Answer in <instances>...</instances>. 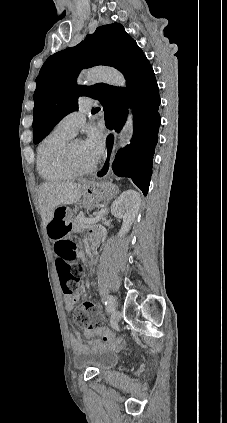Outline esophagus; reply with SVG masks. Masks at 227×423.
<instances>
[{"label":"esophagus","instance_id":"obj_1","mask_svg":"<svg viewBox=\"0 0 227 423\" xmlns=\"http://www.w3.org/2000/svg\"><path fill=\"white\" fill-rule=\"evenodd\" d=\"M115 142H116V138L112 133L106 135L105 155H104L103 163L99 171L95 175V178H97L98 180H102L106 178L111 173Z\"/></svg>","mask_w":227,"mask_h":423}]
</instances>
